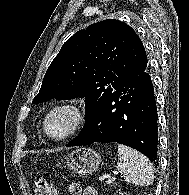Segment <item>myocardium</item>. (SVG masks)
Returning a JSON list of instances; mask_svg holds the SVG:
<instances>
[{"label": "myocardium", "instance_id": "obj_1", "mask_svg": "<svg viewBox=\"0 0 189 195\" xmlns=\"http://www.w3.org/2000/svg\"><path fill=\"white\" fill-rule=\"evenodd\" d=\"M64 108L71 109L75 113L76 121H75L73 127L71 128V130L68 131L66 134H64L63 136H60V137H54L48 131L49 118L56 111H58L60 109H64ZM86 121H87V113L82 105H80L79 103H77L75 101H64V102L58 103L57 105L53 106L49 110V112L46 114L44 121H43V130H44L45 135L50 140L55 141V142H61V141H65V140L71 138L72 136H74L75 134H77L84 127Z\"/></svg>", "mask_w": 189, "mask_h": 195}]
</instances>
